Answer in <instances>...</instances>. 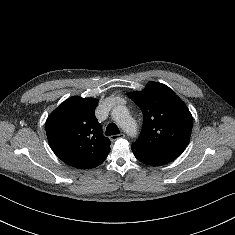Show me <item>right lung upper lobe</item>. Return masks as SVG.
<instances>
[{
  "instance_id": "obj_1",
  "label": "right lung upper lobe",
  "mask_w": 235,
  "mask_h": 235,
  "mask_svg": "<svg viewBox=\"0 0 235 235\" xmlns=\"http://www.w3.org/2000/svg\"><path fill=\"white\" fill-rule=\"evenodd\" d=\"M98 100L72 97L65 100L46 120V134L53 152L66 164L88 169L100 165L110 151V140L94 111Z\"/></svg>"
}]
</instances>
